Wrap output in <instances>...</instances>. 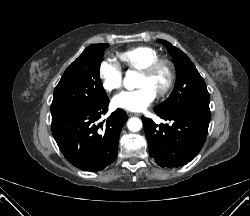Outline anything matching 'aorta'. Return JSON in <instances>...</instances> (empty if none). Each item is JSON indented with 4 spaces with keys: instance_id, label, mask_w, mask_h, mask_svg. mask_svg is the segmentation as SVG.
Segmentation results:
<instances>
[{
    "instance_id": "aorta-1",
    "label": "aorta",
    "mask_w": 250,
    "mask_h": 216,
    "mask_svg": "<svg viewBox=\"0 0 250 216\" xmlns=\"http://www.w3.org/2000/svg\"><path fill=\"white\" fill-rule=\"evenodd\" d=\"M132 77H127L126 78V83L131 82ZM128 128L130 131L137 132L142 128V122L139 118H131L128 121Z\"/></svg>"
}]
</instances>
